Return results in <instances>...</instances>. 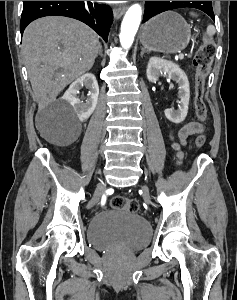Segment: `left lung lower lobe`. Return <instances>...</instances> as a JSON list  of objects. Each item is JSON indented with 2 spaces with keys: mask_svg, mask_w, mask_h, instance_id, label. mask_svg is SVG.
<instances>
[{
  "mask_svg": "<svg viewBox=\"0 0 237 300\" xmlns=\"http://www.w3.org/2000/svg\"><path fill=\"white\" fill-rule=\"evenodd\" d=\"M203 10L215 21L213 9H212V1H207L206 7L203 8Z\"/></svg>",
  "mask_w": 237,
  "mask_h": 300,
  "instance_id": "left-lung-lower-lobe-1",
  "label": "left lung lower lobe"
}]
</instances>
